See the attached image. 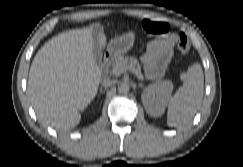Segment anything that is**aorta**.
Returning <instances> with one entry per match:
<instances>
[{"instance_id": "762f6f07", "label": "aorta", "mask_w": 243, "mask_h": 167, "mask_svg": "<svg viewBox=\"0 0 243 167\" xmlns=\"http://www.w3.org/2000/svg\"><path fill=\"white\" fill-rule=\"evenodd\" d=\"M118 91L119 93L122 94H126L129 92V85L126 83H122L119 87H118Z\"/></svg>"}]
</instances>
